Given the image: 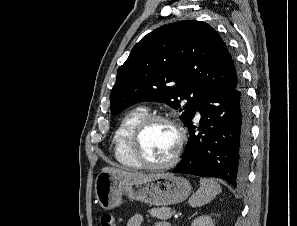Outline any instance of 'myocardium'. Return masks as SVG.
<instances>
[{
    "label": "myocardium",
    "instance_id": "myocardium-1",
    "mask_svg": "<svg viewBox=\"0 0 297 226\" xmlns=\"http://www.w3.org/2000/svg\"><path fill=\"white\" fill-rule=\"evenodd\" d=\"M155 122H165L173 126L177 133V145L171 158L162 163L149 162L141 152V139L142 135L149 125ZM186 143V133L182 125L177 119L166 114H147L143 117L133 128L129 139V150L133 158L138 164L146 169L150 170H163L175 166L183 153V149Z\"/></svg>",
    "mask_w": 297,
    "mask_h": 226
}]
</instances>
